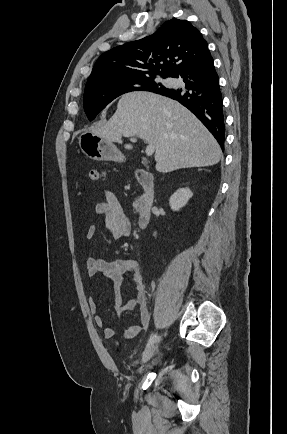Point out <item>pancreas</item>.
I'll use <instances>...</instances> for the list:
<instances>
[{
  "mask_svg": "<svg viewBox=\"0 0 287 434\" xmlns=\"http://www.w3.org/2000/svg\"><path fill=\"white\" fill-rule=\"evenodd\" d=\"M137 205H138V203H137V201H135L133 204L134 209H137Z\"/></svg>",
  "mask_w": 287,
  "mask_h": 434,
  "instance_id": "pancreas-1",
  "label": "pancreas"
}]
</instances>
